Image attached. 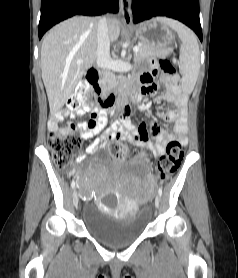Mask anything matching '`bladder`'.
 <instances>
[{
	"label": "bladder",
	"instance_id": "31cf9c89",
	"mask_svg": "<svg viewBox=\"0 0 238 278\" xmlns=\"http://www.w3.org/2000/svg\"><path fill=\"white\" fill-rule=\"evenodd\" d=\"M151 213L145 206L134 213L115 217L100 210L95 204H85L82 222L86 231L98 242L119 246L136 240L145 231Z\"/></svg>",
	"mask_w": 238,
	"mask_h": 278
}]
</instances>
